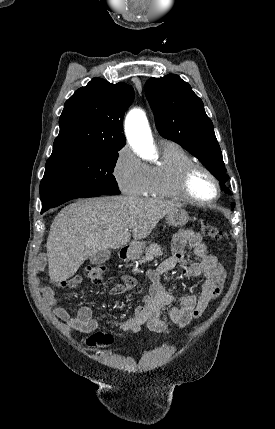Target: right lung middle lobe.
<instances>
[{
  "mask_svg": "<svg viewBox=\"0 0 275 429\" xmlns=\"http://www.w3.org/2000/svg\"><path fill=\"white\" fill-rule=\"evenodd\" d=\"M120 149L63 150L52 152L40 183L41 200L81 192L120 194L113 176Z\"/></svg>",
  "mask_w": 275,
  "mask_h": 429,
  "instance_id": "dd1d6c3e",
  "label": "right lung middle lobe"
}]
</instances>
